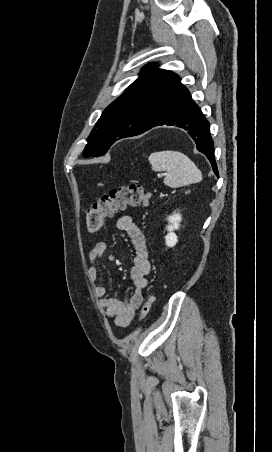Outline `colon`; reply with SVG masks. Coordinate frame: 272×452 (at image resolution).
I'll list each match as a JSON object with an SVG mask.
<instances>
[{
	"mask_svg": "<svg viewBox=\"0 0 272 452\" xmlns=\"http://www.w3.org/2000/svg\"><path fill=\"white\" fill-rule=\"evenodd\" d=\"M151 193L146 191L141 184L131 183L111 190L108 194L95 202L86 213V226L89 232H98L107 218L114 216L117 212L132 207H145L148 205ZM155 302V294L150 293L141 310V318L148 316Z\"/></svg>",
	"mask_w": 272,
	"mask_h": 452,
	"instance_id": "obj_1",
	"label": "colon"
}]
</instances>
